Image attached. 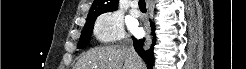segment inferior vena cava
Returning a JSON list of instances; mask_svg holds the SVG:
<instances>
[{"label":"inferior vena cava","mask_w":246,"mask_h":69,"mask_svg":"<svg viewBox=\"0 0 246 69\" xmlns=\"http://www.w3.org/2000/svg\"><path fill=\"white\" fill-rule=\"evenodd\" d=\"M123 47L127 48L130 51V57L133 60V63L135 65V67H133V69H139V67H138V58H139V56L134 51L132 43L129 42V41H125L124 44H123Z\"/></svg>","instance_id":"inferior-vena-cava-1"}]
</instances>
